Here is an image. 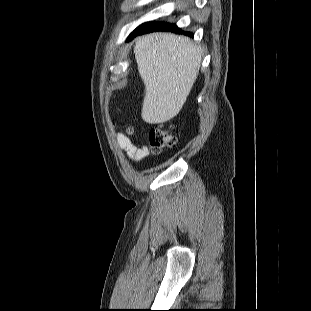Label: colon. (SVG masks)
<instances>
[{"label":"colon","mask_w":311,"mask_h":311,"mask_svg":"<svg viewBox=\"0 0 311 311\" xmlns=\"http://www.w3.org/2000/svg\"><path fill=\"white\" fill-rule=\"evenodd\" d=\"M149 137L153 152H160L163 149L173 148L177 143V139L171 134L170 130L163 126L152 128Z\"/></svg>","instance_id":"obj_1"}]
</instances>
